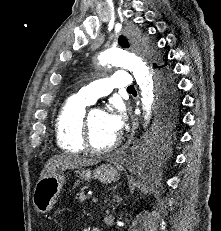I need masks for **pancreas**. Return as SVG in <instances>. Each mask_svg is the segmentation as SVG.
Instances as JSON below:
<instances>
[{
    "label": "pancreas",
    "instance_id": "obj_1",
    "mask_svg": "<svg viewBox=\"0 0 221 231\" xmlns=\"http://www.w3.org/2000/svg\"><path fill=\"white\" fill-rule=\"evenodd\" d=\"M85 189L86 187H83L81 189V192L78 194L79 195L78 199L81 203H83L88 198V196L85 194Z\"/></svg>",
    "mask_w": 221,
    "mask_h": 231
}]
</instances>
